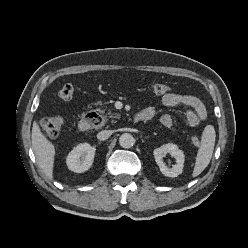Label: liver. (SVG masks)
I'll use <instances>...</instances> for the list:
<instances>
[{
	"label": "liver",
	"mask_w": 248,
	"mask_h": 248,
	"mask_svg": "<svg viewBox=\"0 0 248 248\" xmlns=\"http://www.w3.org/2000/svg\"><path fill=\"white\" fill-rule=\"evenodd\" d=\"M31 138L32 148L39 167L49 179H53L55 147L41 132L36 121L33 123Z\"/></svg>",
	"instance_id": "liver-1"
}]
</instances>
